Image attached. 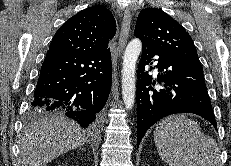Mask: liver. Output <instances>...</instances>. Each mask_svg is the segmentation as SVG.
<instances>
[{"mask_svg":"<svg viewBox=\"0 0 231 166\" xmlns=\"http://www.w3.org/2000/svg\"><path fill=\"white\" fill-rule=\"evenodd\" d=\"M87 140L85 130L64 115L41 118L23 131L20 141L21 166H46Z\"/></svg>","mask_w":231,"mask_h":166,"instance_id":"1","label":"liver"}]
</instances>
